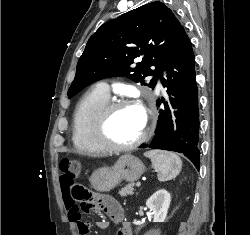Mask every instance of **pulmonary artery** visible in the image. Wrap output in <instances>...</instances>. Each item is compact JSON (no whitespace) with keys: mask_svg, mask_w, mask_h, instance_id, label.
<instances>
[{"mask_svg":"<svg viewBox=\"0 0 250 235\" xmlns=\"http://www.w3.org/2000/svg\"><path fill=\"white\" fill-rule=\"evenodd\" d=\"M157 85H158V88H159V89H163L162 83H161L159 80H158ZM98 88H99L102 92H104V93H106V94L109 95V86H108L106 83H104V82L99 83V84H98Z\"/></svg>","mask_w":250,"mask_h":235,"instance_id":"1","label":"pulmonary artery"}]
</instances>
